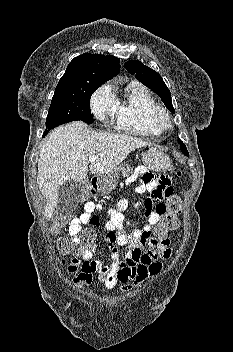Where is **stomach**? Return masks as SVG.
<instances>
[{
	"instance_id": "0dacf381",
	"label": "stomach",
	"mask_w": 233,
	"mask_h": 352,
	"mask_svg": "<svg viewBox=\"0 0 233 352\" xmlns=\"http://www.w3.org/2000/svg\"><path fill=\"white\" fill-rule=\"evenodd\" d=\"M142 160L145 166L154 171H166L170 167L169 157L155 148H151L142 154ZM120 171L121 168H117L108 174L100 176L97 183L98 190L106 194L115 189L119 180Z\"/></svg>"
}]
</instances>
